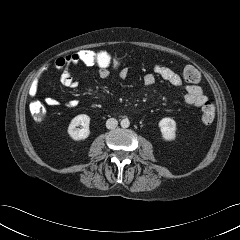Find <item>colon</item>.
<instances>
[{
  "label": "colon",
  "instance_id": "colon-1",
  "mask_svg": "<svg viewBox=\"0 0 240 240\" xmlns=\"http://www.w3.org/2000/svg\"><path fill=\"white\" fill-rule=\"evenodd\" d=\"M75 65L105 67L119 70L125 66L123 58L108 50L82 49L71 54ZM183 77L188 83H198L201 79L199 71L193 66H187L183 70ZM30 113L36 122H41L46 117V109L39 101L31 102ZM215 115L213 105L208 102L202 107L201 119L204 124L212 123Z\"/></svg>",
  "mask_w": 240,
  "mask_h": 240
}]
</instances>
